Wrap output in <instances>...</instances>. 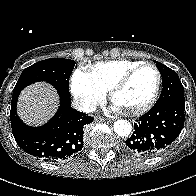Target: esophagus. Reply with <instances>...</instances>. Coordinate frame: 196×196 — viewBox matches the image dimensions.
Instances as JSON below:
<instances>
[{
    "mask_svg": "<svg viewBox=\"0 0 196 196\" xmlns=\"http://www.w3.org/2000/svg\"><path fill=\"white\" fill-rule=\"evenodd\" d=\"M97 119L100 120V121H107V122H111L113 120L111 118H103V117H99Z\"/></svg>",
    "mask_w": 196,
    "mask_h": 196,
    "instance_id": "esophagus-1",
    "label": "esophagus"
}]
</instances>
